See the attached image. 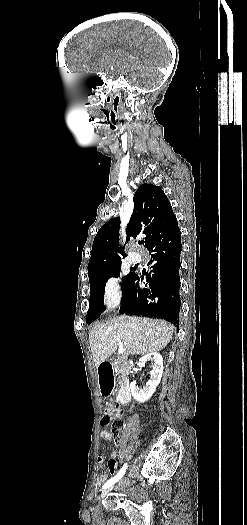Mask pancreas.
Segmentation results:
<instances>
[{"label": "pancreas", "mask_w": 247, "mask_h": 525, "mask_svg": "<svg viewBox=\"0 0 247 525\" xmlns=\"http://www.w3.org/2000/svg\"><path fill=\"white\" fill-rule=\"evenodd\" d=\"M116 373H122V369H120V365H117V363H112Z\"/></svg>", "instance_id": "pancreas-1"}]
</instances>
